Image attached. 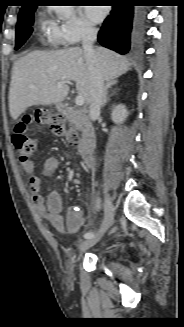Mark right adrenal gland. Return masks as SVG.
<instances>
[{"mask_svg":"<svg viewBox=\"0 0 184 327\" xmlns=\"http://www.w3.org/2000/svg\"><path fill=\"white\" fill-rule=\"evenodd\" d=\"M113 83H107L105 86V91H104V95H103V101H102V107H104L106 105V103L110 100V97L108 96L109 93V89L113 86ZM114 95V93L112 94Z\"/></svg>","mask_w":184,"mask_h":327,"instance_id":"1","label":"right adrenal gland"}]
</instances>
